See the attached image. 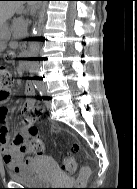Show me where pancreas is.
Masks as SVG:
<instances>
[{"instance_id":"pancreas-1","label":"pancreas","mask_w":137,"mask_h":189,"mask_svg":"<svg viewBox=\"0 0 137 189\" xmlns=\"http://www.w3.org/2000/svg\"><path fill=\"white\" fill-rule=\"evenodd\" d=\"M27 22L22 18H16L13 20V37L14 38H23L27 35Z\"/></svg>"}]
</instances>
